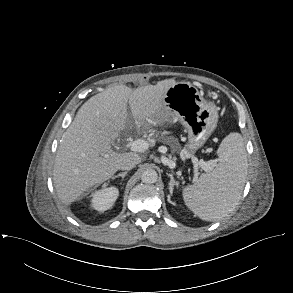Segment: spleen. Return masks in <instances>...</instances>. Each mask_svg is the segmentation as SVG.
<instances>
[{"mask_svg":"<svg viewBox=\"0 0 293 293\" xmlns=\"http://www.w3.org/2000/svg\"><path fill=\"white\" fill-rule=\"evenodd\" d=\"M217 154L220 162L193 185L183 189L187 207L204 221H218L236 207L247 174V155L243 138L230 133L221 142Z\"/></svg>","mask_w":293,"mask_h":293,"instance_id":"obj_1","label":"spleen"}]
</instances>
